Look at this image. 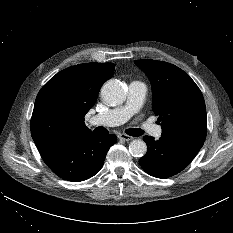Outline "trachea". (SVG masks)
<instances>
[{"label": "trachea", "instance_id": "1", "mask_svg": "<svg viewBox=\"0 0 233 233\" xmlns=\"http://www.w3.org/2000/svg\"><path fill=\"white\" fill-rule=\"evenodd\" d=\"M97 133L99 134H107L108 131L105 129H98ZM126 133L130 136L138 137L143 134V131L140 128H129L126 130Z\"/></svg>", "mask_w": 233, "mask_h": 233}]
</instances>
